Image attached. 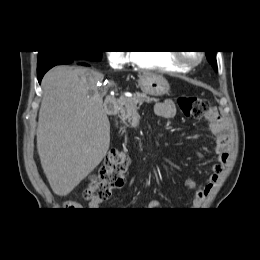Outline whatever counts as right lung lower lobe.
<instances>
[{
    "label": "right lung lower lobe",
    "mask_w": 260,
    "mask_h": 260,
    "mask_svg": "<svg viewBox=\"0 0 260 260\" xmlns=\"http://www.w3.org/2000/svg\"><path fill=\"white\" fill-rule=\"evenodd\" d=\"M74 61H75V60H63V61H60L58 64H54V65H52V66H50V67H47V68H45V69H43V70H41V71H37L39 83H41V79H42V77L44 76V74H45L50 68H52L53 66H55V65H61V64H69V63H72V62H74ZM82 65H87V64L82 63Z\"/></svg>",
    "instance_id": "98d812e1"
}]
</instances>
